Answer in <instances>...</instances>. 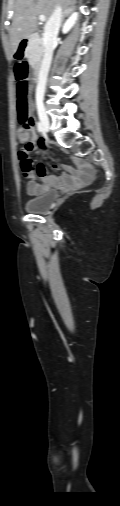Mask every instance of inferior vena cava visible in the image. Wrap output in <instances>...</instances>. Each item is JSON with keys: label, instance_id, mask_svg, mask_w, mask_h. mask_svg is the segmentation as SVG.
Here are the masks:
<instances>
[{"label": "inferior vena cava", "instance_id": "1", "mask_svg": "<svg viewBox=\"0 0 120 506\" xmlns=\"http://www.w3.org/2000/svg\"><path fill=\"white\" fill-rule=\"evenodd\" d=\"M62 8L58 5L44 27L43 45L44 56L39 71V81L36 87V102H43L46 80L51 65L52 55L59 28L62 23Z\"/></svg>", "mask_w": 120, "mask_h": 506}]
</instances>
